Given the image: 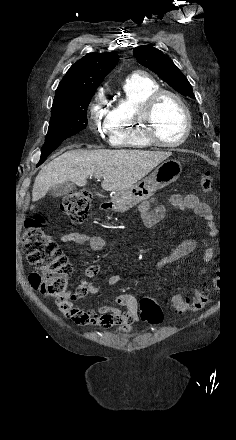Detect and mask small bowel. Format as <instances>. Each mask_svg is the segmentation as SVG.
I'll use <instances>...</instances> for the list:
<instances>
[{
    "label": "small bowel",
    "instance_id": "c3829d8e",
    "mask_svg": "<svg viewBox=\"0 0 236 440\" xmlns=\"http://www.w3.org/2000/svg\"><path fill=\"white\" fill-rule=\"evenodd\" d=\"M170 204L179 210L190 209L202 218L208 227L210 233L214 234V222L210 213L209 206L200 201L194 194L182 196L179 194L172 195ZM139 211L142 215L144 224L148 228L156 226L162 221L165 215V207L162 204H157L154 197L144 200L139 205ZM61 242L64 244H76L80 246H87L92 251H101L105 246V241L102 237L97 235H90L80 232H70L61 237ZM195 241L185 240L177 246L173 247L168 255L157 263L158 267H163L175 263L188 255L195 248ZM209 253L205 256V264L200 268L198 277H202L207 271V265L210 262ZM100 271L99 266H88L84 273V278L77 285L74 292L70 293L72 302L68 312L64 313L68 318L75 323L81 321L79 327L81 330H88L90 324L100 326L105 329H116L118 332L128 334L135 329V324L139 321V309L135 296L130 293H122L116 296L115 304H104L96 309L82 310L73 305L75 300L81 299L88 294H97L99 288L90 280L98 275ZM122 280L119 274H114L109 277L108 283L110 285H117ZM117 306L125 307V310L119 309Z\"/></svg>",
    "mask_w": 236,
    "mask_h": 440
}]
</instances>
